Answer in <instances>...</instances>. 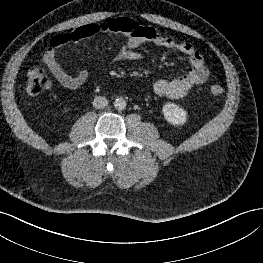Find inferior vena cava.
<instances>
[{"mask_svg":"<svg viewBox=\"0 0 263 263\" xmlns=\"http://www.w3.org/2000/svg\"><path fill=\"white\" fill-rule=\"evenodd\" d=\"M93 106L97 109H103L105 107H107L108 105V100L103 97V96H98V97H95L94 100H93Z\"/></svg>","mask_w":263,"mask_h":263,"instance_id":"inferior-vena-cava-1","label":"inferior vena cava"}]
</instances>
